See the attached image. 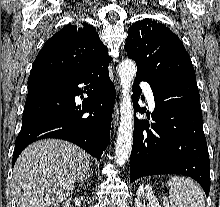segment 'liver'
<instances>
[{
  "label": "liver",
  "mask_w": 220,
  "mask_h": 207,
  "mask_svg": "<svg viewBox=\"0 0 220 207\" xmlns=\"http://www.w3.org/2000/svg\"><path fill=\"white\" fill-rule=\"evenodd\" d=\"M89 170L90 157L78 146L57 139L34 142L13 169L17 207H58Z\"/></svg>",
  "instance_id": "1"
}]
</instances>
